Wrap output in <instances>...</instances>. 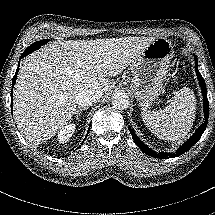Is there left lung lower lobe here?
Listing matches in <instances>:
<instances>
[{
    "label": "left lung lower lobe",
    "instance_id": "1",
    "mask_svg": "<svg viewBox=\"0 0 215 215\" xmlns=\"http://www.w3.org/2000/svg\"><path fill=\"white\" fill-rule=\"evenodd\" d=\"M195 64H196V74H197V78L200 84V87L202 89L203 92V96H204V113H205V122L197 129V131L194 133V135L189 138L179 149L176 150L175 153H157L155 151H153L152 149H150L148 146H146L135 134V132L129 128L131 135L135 141V143L138 145V147H140V149L146 153L147 155L151 156V157H155V158H174L176 156H179L185 152H187L202 136L203 132L206 129L207 126V121H208V114H209V104H208V99H207V89H206V84L205 81L202 77V75L200 74V72L197 69L198 66V60L197 57L195 56Z\"/></svg>",
    "mask_w": 215,
    "mask_h": 215
}]
</instances>
